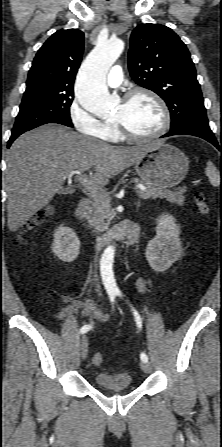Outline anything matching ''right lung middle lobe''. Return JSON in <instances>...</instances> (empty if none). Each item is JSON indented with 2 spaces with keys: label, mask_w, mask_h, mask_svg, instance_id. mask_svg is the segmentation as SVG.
I'll list each match as a JSON object with an SVG mask.
<instances>
[{
  "label": "right lung middle lobe",
  "mask_w": 222,
  "mask_h": 447,
  "mask_svg": "<svg viewBox=\"0 0 222 447\" xmlns=\"http://www.w3.org/2000/svg\"><path fill=\"white\" fill-rule=\"evenodd\" d=\"M73 97L74 91L71 88H55L45 85L27 88L12 135L22 134L47 123H71L69 107Z\"/></svg>",
  "instance_id": "dd1d6c3e"
}]
</instances>
